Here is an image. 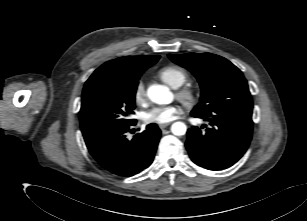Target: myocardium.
I'll return each mask as SVG.
<instances>
[{
  "mask_svg": "<svg viewBox=\"0 0 307 221\" xmlns=\"http://www.w3.org/2000/svg\"><path fill=\"white\" fill-rule=\"evenodd\" d=\"M176 97L186 108L192 109L196 107L200 101V92L196 87L188 84L178 88Z\"/></svg>",
  "mask_w": 307,
  "mask_h": 221,
  "instance_id": "myocardium-1",
  "label": "myocardium"
}]
</instances>
